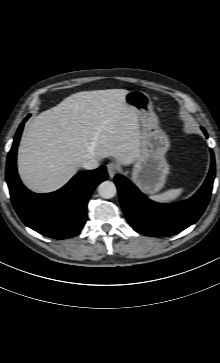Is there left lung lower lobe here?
Here are the masks:
<instances>
[{"instance_id":"1","label":"left lung lower lobe","mask_w":220,"mask_h":363,"mask_svg":"<svg viewBox=\"0 0 220 363\" xmlns=\"http://www.w3.org/2000/svg\"><path fill=\"white\" fill-rule=\"evenodd\" d=\"M202 130L207 136L204 128ZM214 178L215 159L211 150L209 174L199 191L185 202L173 205L154 203L120 175L115 177V184L130 225L147 236L167 237L181 232L200 218L209 202Z\"/></svg>"}]
</instances>
